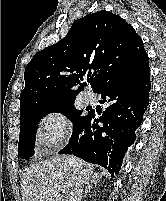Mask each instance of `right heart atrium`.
<instances>
[{
  "label": "right heart atrium",
  "instance_id": "right-heart-atrium-1",
  "mask_svg": "<svg viewBox=\"0 0 166 201\" xmlns=\"http://www.w3.org/2000/svg\"><path fill=\"white\" fill-rule=\"evenodd\" d=\"M69 136V121L57 111L46 114L39 123L37 140L42 150L49 152L60 147Z\"/></svg>",
  "mask_w": 166,
  "mask_h": 201
}]
</instances>
